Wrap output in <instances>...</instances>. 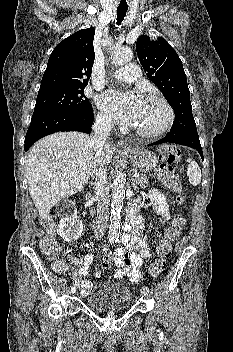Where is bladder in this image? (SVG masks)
Instances as JSON below:
<instances>
[{
  "mask_svg": "<svg viewBox=\"0 0 233 352\" xmlns=\"http://www.w3.org/2000/svg\"><path fill=\"white\" fill-rule=\"evenodd\" d=\"M87 306L100 312H121L130 308L132 295L121 283L100 282L87 295Z\"/></svg>",
  "mask_w": 233,
  "mask_h": 352,
  "instance_id": "1",
  "label": "bladder"
}]
</instances>
